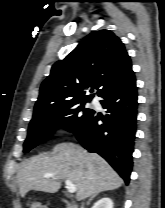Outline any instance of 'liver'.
<instances>
[{
	"label": "liver",
	"mask_w": 165,
	"mask_h": 208,
	"mask_svg": "<svg viewBox=\"0 0 165 208\" xmlns=\"http://www.w3.org/2000/svg\"><path fill=\"white\" fill-rule=\"evenodd\" d=\"M46 173H52L54 177L44 178ZM61 179L76 186L78 201L118 189L123 184L120 176L102 157L74 143H61L50 154L31 157L17 173L21 197L30 190L56 193L61 187Z\"/></svg>",
	"instance_id": "obj_1"
}]
</instances>
